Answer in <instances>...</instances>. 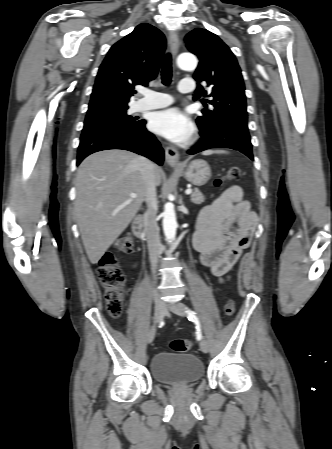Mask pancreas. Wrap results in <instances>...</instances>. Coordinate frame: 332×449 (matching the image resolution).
<instances>
[{"label":"pancreas","instance_id":"cf45deb5","mask_svg":"<svg viewBox=\"0 0 332 449\" xmlns=\"http://www.w3.org/2000/svg\"><path fill=\"white\" fill-rule=\"evenodd\" d=\"M204 200V195L197 189L191 194V201L195 204H202Z\"/></svg>","mask_w":332,"mask_h":449}]
</instances>
